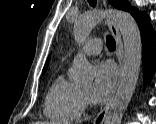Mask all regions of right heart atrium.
<instances>
[{
  "label": "right heart atrium",
  "mask_w": 156,
  "mask_h": 124,
  "mask_svg": "<svg viewBox=\"0 0 156 124\" xmlns=\"http://www.w3.org/2000/svg\"><path fill=\"white\" fill-rule=\"evenodd\" d=\"M80 103H81V113H83L89 108L91 104V99L87 92L84 91L81 92Z\"/></svg>",
  "instance_id": "1"
}]
</instances>
